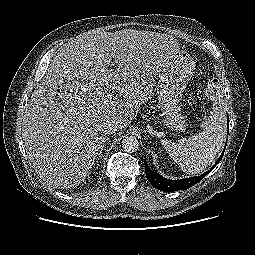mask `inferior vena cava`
Listing matches in <instances>:
<instances>
[{
	"label": "inferior vena cava",
	"mask_w": 255,
	"mask_h": 255,
	"mask_svg": "<svg viewBox=\"0 0 255 255\" xmlns=\"http://www.w3.org/2000/svg\"><path fill=\"white\" fill-rule=\"evenodd\" d=\"M119 129V125L116 121H109L106 125V133L112 134Z\"/></svg>",
	"instance_id": "1"
}]
</instances>
